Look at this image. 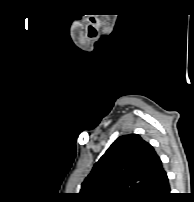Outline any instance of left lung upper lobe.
<instances>
[{
  "label": "left lung upper lobe",
  "mask_w": 194,
  "mask_h": 202,
  "mask_svg": "<svg viewBox=\"0 0 194 202\" xmlns=\"http://www.w3.org/2000/svg\"><path fill=\"white\" fill-rule=\"evenodd\" d=\"M164 173L149 143L124 135L94 165L79 196L83 202H152Z\"/></svg>",
  "instance_id": "5c2ea615"
}]
</instances>
